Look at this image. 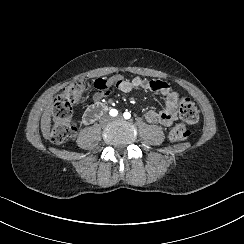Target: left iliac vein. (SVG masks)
Listing matches in <instances>:
<instances>
[{"mask_svg": "<svg viewBox=\"0 0 244 244\" xmlns=\"http://www.w3.org/2000/svg\"><path fill=\"white\" fill-rule=\"evenodd\" d=\"M122 118V116L121 115H118L115 119L116 120H120Z\"/></svg>", "mask_w": 244, "mask_h": 244, "instance_id": "obj_1", "label": "left iliac vein"}]
</instances>
